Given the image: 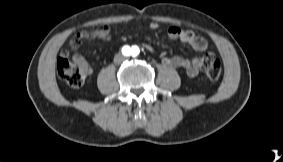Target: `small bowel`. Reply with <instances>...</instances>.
I'll list each match as a JSON object with an SVG mask.
<instances>
[{
	"instance_id": "1",
	"label": "small bowel",
	"mask_w": 283,
	"mask_h": 162,
	"mask_svg": "<svg viewBox=\"0 0 283 162\" xmlns=\"http://www.w3.org/2000/svg\"><path fill=\"white\" fill-rule=\"evenodd\" d=\"M149 28L151 30L157 31L160 29V25L157 22H150ZM166 34L170 39L173 40H179L182 43L190 45L194 50L203 52L207 49V41L198 35H196L191 30H185L182 28H179L177 26H170L166 30ZM87 38H99L106 42L110 41V27L106 24L99 26L97 29L93 31H80L75 34V36L70 41V48L72 50L78 49L83 40ZM144 47L152 51L153 48L150 45H144ZM61 56L68 57L69 52L63 51L61 53ZM206 58V57H205ZM205 58H195L192 60H189L187 58L181 57V56H173V57H166L164 56L162 59V62L164 65L170 66L172 68L176 69H182L185 71V73L190 77H195L200 72L203 61ZM74 60L78 62H84V58L80 55H75Z\"/></svg>"
}]
</instances>
